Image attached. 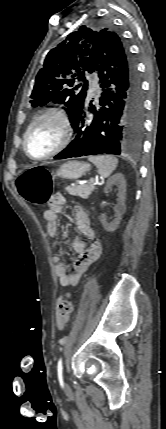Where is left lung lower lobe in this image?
Returning <instances> with one entry per match:
<instances>
[{
	"mask_svg": "<svg viewBox=\"0 0 166 429\" xmlns=\"http://www.w3.org/2000/svg\"><path fill=\"white\" fill-rule=\"evenodd\" d=\"M92 72L99 76V106L88 103L86 96L72 125L75 139L54 159L136 155L140 150L144 123L141 82L135 62L119 36L99 46Z\"/></svg>",
	"mask_w": 166,
	"mask_h": 429,
	"instance_id": "1",
	"label": "left lung lower lobe"
}]
</instances>
